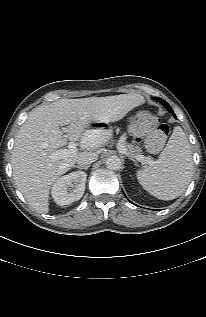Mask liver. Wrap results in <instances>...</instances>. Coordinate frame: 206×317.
I'll use <instances>...</instances> for the list:
<instances>
[{"label": "liver", "mask_w": 206, "mask_h": 317, "mask_svg": "<svg viewBox=\"0 0 206 317\" xmlns=\"http://www.w3.org/2000/svg\"><path fill=\"white\" fill-rule=\"evenodd\" d=\"M143 102V96L130 93L61 99L33 109L15 138L11 158L15 184L29 205L39 213H48L49 191L53 182L69 171L81 154L98 148L104 142L100 136H85V130L92 122L108 124L118 121ZM65 125L62 131L60 126ZM79 139L83 151L59 160L49 157L68 140ZM83 139L93 141L92 145H84Z\"/></svg>", "instance_id": "obj_1"}]
</instances>
